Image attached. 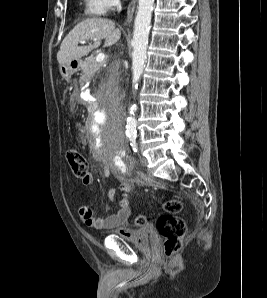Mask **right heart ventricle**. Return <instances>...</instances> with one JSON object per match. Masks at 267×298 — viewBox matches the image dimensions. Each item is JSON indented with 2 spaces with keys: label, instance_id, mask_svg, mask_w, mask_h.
Here are the masks:
<instances>
[{
  "label": "right heart ventricle",
  "instance_id": "right-heart-ventricle-1",
  "mask_svg": "<svg viewBox=\"0 0 267 298\" xmlns=\"http://www.w3.org/2000/svg\"><path fill=\"white\" fill-rule=\"evenodd\" d=\"M84 14L88 17H101L104 14L102 0H83Z\"/></svg>",
  "mask_w": 267,
  "mask_h": 298
}]
</instances>
